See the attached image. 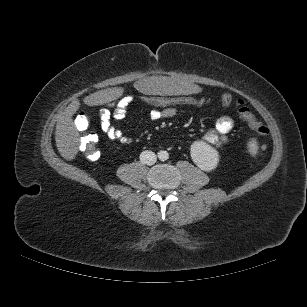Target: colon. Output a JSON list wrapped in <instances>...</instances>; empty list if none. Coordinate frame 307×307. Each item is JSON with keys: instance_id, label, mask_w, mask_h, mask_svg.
Returning <instances> with one entry per match:
<instances>
[{"instance_id": "colon-1", "label": "colon", "mask_w": 307, "mask_h": 307, "mask_svg": "<svg viewBox=\"0 0 307 307\" xmlns=\"http://www.w3.org/2000/svg\"><path fill=\"white\" fill-rule=\"evenodd\" d=\"M138 102L142 105L150 106L153 108H168L177 105H192V106H205L213 103L211 98L198 96V95H171V96H156L146 95L138 98H132L127 103V108L134 103ZM219 103L223 106H228L232 103L235 104L238 115L245 121L255 132L259 135H268L269 129L267 126L260 122L252 113L249 106L241 99H234L230 93H223L219 99ZM75 125L81 132L80 148L84 155L90 160H97L100 156L97 143L98 136L96 133L88 131L89 118L84 112H80L75 118ZM260 151H264V146Z\"/></svg>"}]
</instances>
